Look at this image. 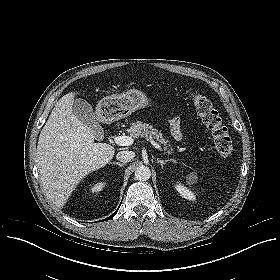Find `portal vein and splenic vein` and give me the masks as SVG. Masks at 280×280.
<instances>
[{"label": "portal vein and splenic vein", "instance_id": "1", "mask_svg": "<svg viewBox=\"0 0 280 280\" xmlns=\"http://www.w3.org/2000/svg\"><path fill=\"white\" fill-rule=\"evenodd\" d=\"M149 140L155 148H157L158 150H162L161 146L157 144L155 141H153L152 138H149ZM114 141L117 145L129 146L133 144L134 139L131 136L120 135V136H116L114 138Z\"/></svg>", "mask_w": 280, "mask_h": 280}]
</instances>
